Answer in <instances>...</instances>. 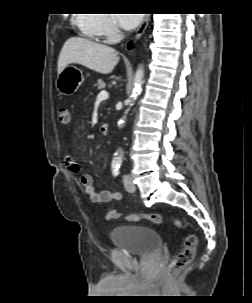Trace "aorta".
Instances as JSON below:
<instances>
[{
	"label": "aorta",
	"mask_w": 252,
	"mask_h": 303,
	"mask_svg": "<svg viewBox=\"0 0 252 303\" xmlns=\"http://www.w3.org/2000/svg\"><path fill=\"white\" fill-rule=\"evenodd\" d=\"M143 77H144V69L142 66H139L135 73V77L133 81V91L131 95V101L135 100L138 94L140 93ZM119 124L122 125L123 120H120ZM122 159H123V153L121 151L117 152L113 157L112 163L114 165H120L122 163Z\"/></svg>",
	"instance_id": "aorta-1"
}]
</instances>
